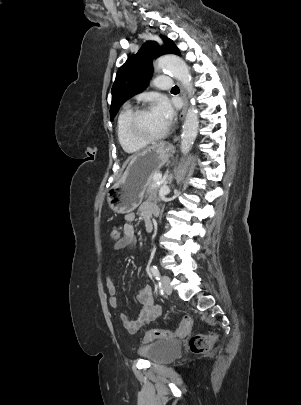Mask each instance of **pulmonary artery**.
Masks as SVG:
<instances>
[{"instance_id": "1", "label": "pulmonary artery", "mask_w": 301, "mask_h": 405, "mask_svg": "<svg viewBox=\"0 0 301 405\" xmlns=\"http://www.w3.org/2000/svg\"><path fill=\"white\" fill-rule=\"evenodd\" d=\"M155 85L161 89H170L172 87V80L169 76L161 75L155 78Z\"/></svg>"}]
</instances>
